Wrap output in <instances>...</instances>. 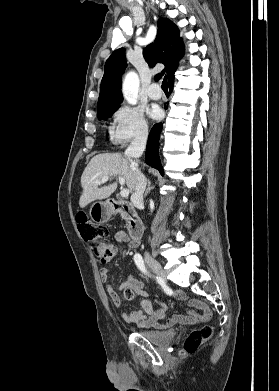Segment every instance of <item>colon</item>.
<instances>
[{
	"mask_svg": "<svg viewBox=\"0 0 279 391\" xmlns=\"http://www.w3.org/2000/svg\"><path fill=\"white\" fill-rule=\"evenodd\" d=\"M77 223L81 237L89 242L94 255L100 262L110 263L118 254V246L108 241V229L104 226L95 225L85 213L78 214ZM127 295L131 297L130 292ZM212 334L213 328L209 325L192 330L184 341L182 353L195 352L201 344L210 339Z\"/></svg>",
	"mask_w": 279,
	"mask_h": 391,
	"instance_id": "colon-1",
	"label": "colon"
}]
</instances>
